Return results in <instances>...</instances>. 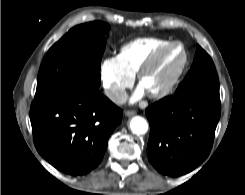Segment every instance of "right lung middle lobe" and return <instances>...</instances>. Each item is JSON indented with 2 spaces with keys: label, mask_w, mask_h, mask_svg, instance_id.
<instances>
[{
  "label": "right lung middle lobe",
  "mask_w": 245,
  "mask_h": 195,
  "mask_svg": "<svg viewBox=\"0 0 245 195\" xmlns=\"http://www.w3.org/2000/svg\"><path fill=\"white\" fill-rule=\"evenodd\" d=\"M110 26L94 21L72 28L47 52L38 73L35 99L100 86L105 34Z\"/></svg>",
  "instance_id": "right-lung-middle-lobe-1"
}]
</instances>
